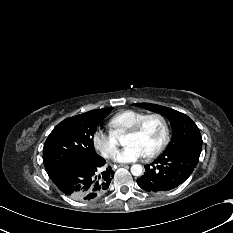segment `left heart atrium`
<instances>
[{
	"mask_svg": "<svg viewBox=\"0 0 233 233\" xmlns=\"http://www.w3.org/2000/svg\"><path fill=\"white\" fill-rule=\"evenodd\" d=\"M146 156L144 150L136 144H129L115 155L117 162H132Z\"/></svg>",
	"mask_w": 233,
	"mask_h": 233,
	"instance_id": "1",
	"label": "left heart atrium"
}]
</instances>
